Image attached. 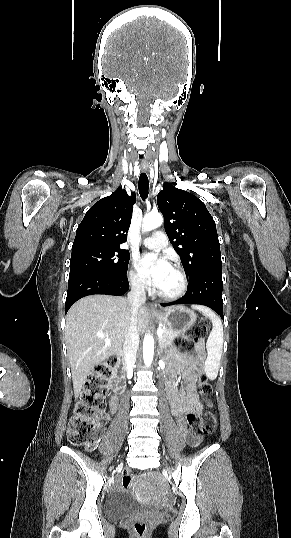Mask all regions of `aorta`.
<instances>
[{
  "instance_id": "1",
  "label": "aorta",
  "mask_w": 291,
  "mask_h": 538,
  "mask_svg": "<svg viewBox=\"0 0 291 538\" xmlns=\"http://www.w3.org/2000/svg\"><path fill=\"white\" fill-rule=\"evenodd\" d=\"M163 223V217L158 212L148 213L143 220V229L145 232L151 231ZM154 355V338L150 333L145 334L143 340V360L146 366H150Z\"/></svg>"
}]
</instances>
